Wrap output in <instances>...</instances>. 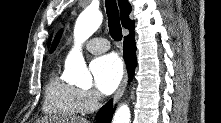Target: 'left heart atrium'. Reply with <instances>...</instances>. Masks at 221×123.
<instances>
[{
    "label": "left heart atrium",
    "mask_w": 221,
    "mask_h": 123,
    "mask_svg": "<svg viewBox=\"0 0 221 123\" xmlns=\"http://www.w3.org/2000/svg\"><path fill=\"white\" fill-rule=\"evenodd\" d=\"M90 70L96 88L103 94L112 93L123 76V64L114 54H106L94 59Z\"/></svg>",
    "instance_id": "1"
}]
</instances>
